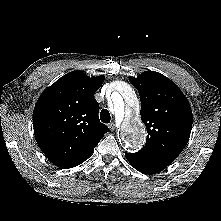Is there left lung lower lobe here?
Listing matches in <instances>:
<instances>
[{
    "mask_svg": "<svg viewBox=\"0 0 221 221\" xmlns=\"http://www.w3.org/2000/svg\"><path fill=\"white\" fill-rule=\"evenodd\" d=\"M125 157L129 160V163L139 172L144 174H154L157 173L163 169H165L167 166L154 162L151 160L143 159L134 153H125Z\"/></svg>",
    "mask_w": 221,
    "mask_h": 221,
    "instance_id": "obj_1",
    "label": "left lung lower lobe"
}]
</instances>
